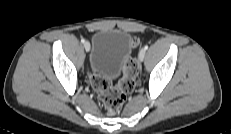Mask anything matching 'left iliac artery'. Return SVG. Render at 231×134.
<instances>
[{"label":"left iliac artery","mask_w":231,"mask_h":134,"mask_svg":"<svg viewBox=\"0 0 231 134\" xmlns=\"http://www.w3.org/2000/svg\"><path fill=\"white\" fill-rule=\"evenodd\" d=\"M144 49L147 50V49H148V45H145V46H144Z\"/></svg>","instance_id":"1"}]
</instances>
